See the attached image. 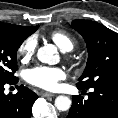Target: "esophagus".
I'll use <instances>...</instances> for the list:
<instances>
[{"mask_svg":"<svg viewBox=\"0 0 118 118\" xmlns=\"http://www.w3.org/2000/svg\"><path fill=\"white\" fill-rule=\"evenodd\" d=\"M39 95H40V96H43V97H54V96H56V95L53 94V93H49V92H45V91H41V92L39 93Z\"/></svg>","mask_w":118,"mask_h":118,"instance_id":"34e87169","label":"esophagus"}]
</instances>
